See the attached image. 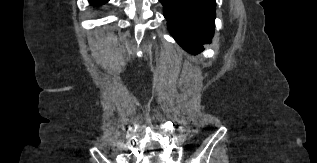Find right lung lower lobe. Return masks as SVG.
Segmentation results:
<instances>
[{
    "mask_svg": "<svg viewBox=\"0 0 317 163\" xmlns=\"http://www.w3.org/2000/svg\"><path fill=\"white\" fill-rule=\"evenodd\" d=\"M91 4L93 5H101L107 2L108 0H89Z\"/></svg>",
    "mask_w": 317,
    "mask_h": 163,
    "instance_id": "right-lung-lower-lobe-1",
    "label": "right lung lower lobe"
}]
</instances>
